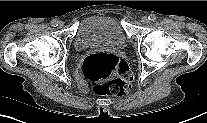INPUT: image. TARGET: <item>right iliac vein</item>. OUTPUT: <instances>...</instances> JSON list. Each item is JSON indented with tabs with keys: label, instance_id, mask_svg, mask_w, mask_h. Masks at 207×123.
Here are the masks:
<instances>
[{
	"label": "right iliac vein",
	"instance_id": "obj_1",
	"mask_svg": "<svg viewBox=\"0 0 207 123\" xmlns=\"http://www.w3.org/2000/svg\"><path fill=\"white\" fill-rule=\"evenodd\" d=\"M63 26H64V23H63L62 21H59V22H58V27H59V28H62Z\"/></svg>",
	"mask_w": 207,
	"mask_h": 123
}]
</instances>
